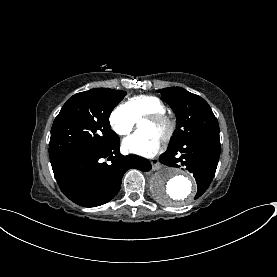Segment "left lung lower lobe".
<instances>
[{
	"mask_svg": "<svg viewBox=\"0 0 277 277\" xmlns=\"http://www.w3.org/2000/svg\"><path fill=\"white\" fill-rule=\"evenodd\" d=\"M220 151L219 133H209L168 148L159 160L167 166H183L192 172L197 182V198L206 191L215 175Z\"/></svg>",
	"mask_w": 277,
	"mask_h": 277,
	"instance_id": "0a47b994",
	"label": "left lung lower lobe"
}]
</instances>
